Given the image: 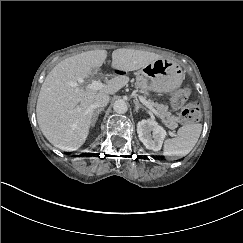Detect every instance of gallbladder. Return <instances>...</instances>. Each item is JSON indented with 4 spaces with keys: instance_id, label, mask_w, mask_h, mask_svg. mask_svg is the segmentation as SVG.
<instances>
[{
    "instance_id": "obj_1",
    "label": "gallbladder",
    "mask_w": 243,
    "mask_h": 243,
    "mask_svg": "<svg viewBox=\"0 0 243 243\" xmlns=\"http://www.w3.org/2000/svg\"><path fill=\"white\" fill-rule=\"evenodd\" d=\"M97 71H98L97 68H93V69H92V73H93V74L97 73Z\"/></svg>"
}]
</instances>
